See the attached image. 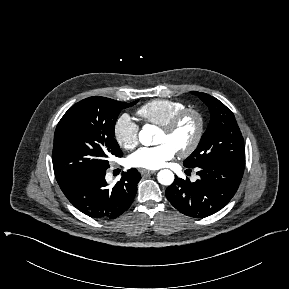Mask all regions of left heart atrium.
Wrapping results in <instances>:
<instances>
[{
	"label": "left heart atrium",
	"mask_w": 289,
	"mask_h": 289,
	"mask_svg": "<svg viewBox=\"0 0 289 289\" xmlns=\"http://www.w3.org/2000/svg\"><path fill=\"white\" fill-rule=\"evenodd\" d=\"M176 152L168 143H162L154 147H142L128 157V163L132 167L154 170L171 160Z\"/></svg>",
	"instance_id": "39dd6f15"
}]
</instances>
